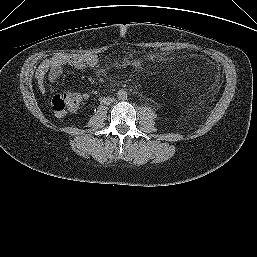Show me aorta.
I'll list each match as a JSON object with an SVG mask.
<instances>
[{"mask_svg": "<svg viewBox=\"0 0 257 257\" xmlns=\"http://www.w3.org/2000/svg\"><path fill=\"white\" fill-rule=\"evenodd\" d=\"M117 97H118L119 100L125 101V100H127L128 92L125 89H120L117 92Z\"/></svg>", "mask_w": 257, "mask_h": 257, "instance_id": "762f6f07", "label": "aorta"}]
</instances>
